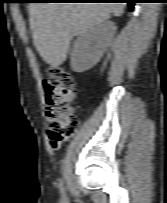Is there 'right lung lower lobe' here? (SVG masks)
Returning <instances> with one entry per match:
<instances>
[{
    "mask_svg": "<svg viewBox=\"0 0 167 203\" xmlns=\"http://www.w3.org/2000/svg\"><path fill=\"white\" fill-rule=\"evenodd\" d=\"M91 1H122L128 3L131 10H133L134 4L136 3V0H91Z\"/></svg>",
    "mask_w": 167,
    "mask_h": 203,
    "instance_id": "98d812e1",
    "label": "right lung lower lobe"
}]
</instances>
